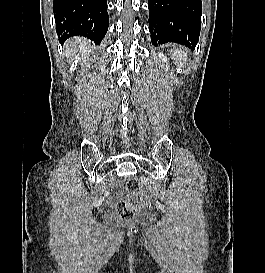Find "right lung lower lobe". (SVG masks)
<instances>
[{"mask_svg":"<svg viewBox=\"0 0 265 273\" xmlns=\"http://www.w3.org/2000/svg\"><path fill=\"white\" fill-rule=\"evenodd\" d=\"M53 10L61 43L83 36L99 44L108 30L107 0H55Z\"/></svg>","mask_w":265,"mask_h":273,"instance_id":"right-lung-lower-lobe-1","label":"right lung lower lobe"}]
</instances>
